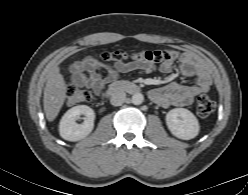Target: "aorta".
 Returning a JSON list of instances; mask_svg holds the SVG:
<instances>
[{"mask_svg": "<svg viewBox=\"0 0 248 195\" xmlns=\"http://www.w3.org/2000/svg\"><path fill=\"white\" fill-rule=\"evenodd\" d=\"M132 103L134 105H140L142 104V102L144 101V96L143 94L141 93H135L133 96H132Z\"/></svg>", "mask_w": 248, "mask_h": 195, "instance_id": "762f6f07", "label": "aorta"}]
</instances>
